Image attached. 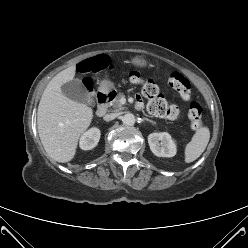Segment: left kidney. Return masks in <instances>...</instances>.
Masks as SVG:
<instances>
[{
  "instance_id": "1",
  "label": "left kidney",
  "mask_w": 248,
  "mask_h": 248,
  "mask_svg": "<svg viewBox=\"0 0 248 248\" xmlns=\"http://www.w3.org/2000/svg\"><path fill=\"white\" fill-rule=\"evenodd\" d=\"M151 151L158 157H173L176 155V144L167 132L151 133L148 136Z\"/></svg>"
}]
</instances>
